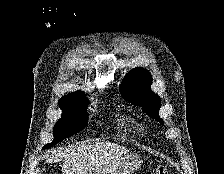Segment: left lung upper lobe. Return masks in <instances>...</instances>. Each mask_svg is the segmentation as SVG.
Wrapping results in <instances>:
<instances>
[{
    "instance_id": "1",
    "label": "left lung upper lobe",
    "mask_w": 224,
    "mask_h": 174,
    "mask_svg": "<svg viewBox=\"0 0 224 174\" xmlns=\"http://www.w3.org/2000/svg\"><path fill=\"white\" fill-rule=\"evenodd\" d=\"M151 85L152 76L150 72L137 67L126 74L120 85V92L127 100L141 106L149 117L163 124V120L158 115L161 100L151 90Z\"/></svg>"
}]
</instances>
